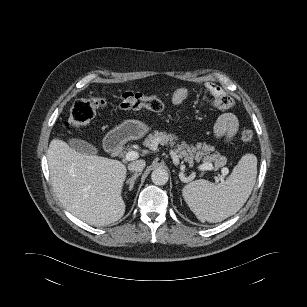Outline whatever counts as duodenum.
I'll return each mask as SVG.
<instances>
[{"label":"duodenum","mask_w":307,"mask_h":307,"mask_svg":"<svg viewBox=\"0 0 307 307\" xmlns=\"http://www.w3.org/2000/svg\"><path fill=\"white\" fill-rule=\"evenodd\" d=\"M108 147L110 151L112 152V154H115V155L121 153L123 150V145L120 142H118L116 138L109 139Z\"/></svg>","instance_id":"duodenum-1"}]
</instances>
